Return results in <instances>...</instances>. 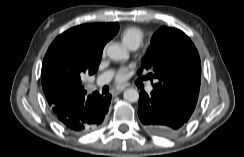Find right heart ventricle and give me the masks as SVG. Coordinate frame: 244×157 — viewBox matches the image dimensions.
<instances>
[{"label":"right heart ventricle","instance_id":"obj_1","mask_svg":"<svg viewBox=\"0 0 244 157\" xmlns=\"http://www.w3.org/2000/svg\"><path fill=\"white\" fill-rule=\"evenodd\" d=\"M120 38L126 47H138L143 42L145 33L140 27L129 26L121 32Z\"/></svg>","mask_w":244,"mask_h":157}]
</instances>
